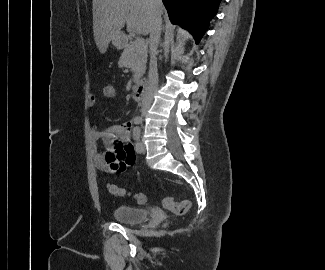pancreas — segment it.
<instances>
[{"label":"pancreas","instance_id":"pancreas-1","mask_svg":"<svg viewBox=\"0 0 325 270\" xmlns=\"http://www.w3.org/2000/svg\"><path fill=\"white\" fill-rule=\"evenodd\" d=\"M147 45L139 46L135 41L126 45L120 59L119 65L131 69L134 73V82L138 81L145 72L147 62Z\"/></svg>","mask_w":325,"mask_h":270}]
</instances>
